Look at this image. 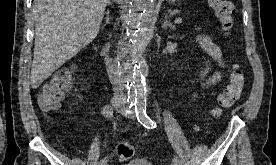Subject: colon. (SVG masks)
Instances as JSON below:
<instances>
[{
	"mask_svg": "<svg viewBox=\"0 0 276 165\" xmlns=\"http://www.w3.org/2000/svg\"><path fill=\"white\" fill-rule=\"evenodd\" d=\"M209 5L221 23L224 34L229 37L234 25L235 9L228 0H209ZM71 83V72L59 70L47 81L38 96L40 109L45 113L56 111L64 97L65 91ZM245 84L243 70L238 64L232 66L229 81L223 92L218 96L217 107L213 110V116L218 117L221 113L233 106L240 98ZM121 161H127L134 155V148L129 143H121L116 150Z\"/></svg>",
	"mask_w": 276,
	"mask_h": 165,
	"instance_id": "obj_1",
	"label": "colon"
}]
</instances>
